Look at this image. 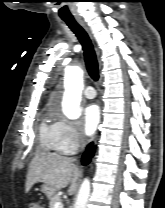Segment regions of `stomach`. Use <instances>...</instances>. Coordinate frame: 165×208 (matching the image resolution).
I'll list each match as a JSON object with an SVG mask.
<instances>
[{"label":"stomach","instance_id":"1","mask_svg":"<svg viewBox=\"0 0 165 208\" xmlns=\"http://www.w3.org/2000/svg\"><path fill=\"white\" fill-rule=\"evenodd\" d=\"M42 192L46 195V197L48 199H51L55 193H56V189L51 187V186H48L46 184L42 185Z\"/></svg>","mask_w":165,"mask_h":208}]
</instances>
